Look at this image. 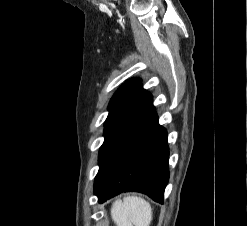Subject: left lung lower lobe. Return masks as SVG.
Returning a JSON list of instances; mask_svg holds the SVG:
<instances>
[{
  "instance_id": "obj_1",
  "label": "left lung lower lobe",
  "mask_w": 247,
  "mask_h": 226,
  "mask_svg": "<svg viewBox=\"0 0 247 226\" xmlns=\"http://www.w3.org/2000/svg\"><path fill=\"white\" fill-rule=\"evenodd\" d=\"M168 158L167 132L158 124L151 94L140 84L105 126L94 182L99 203L123 191L162 203Z\"/></svg>"
}]
</instances>
